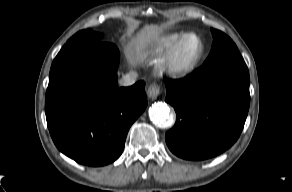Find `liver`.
<instances>
[{"label": "liver", "instance_id": "obj_1", "mask_svg": "<svg viewBox=\"0 0 292 192\" xmlns=\"http://www.w3.org/2000/svg\"><path fill=\"white\" fill-rule=\"evenodd\" d=\"M161 28L157 25H145L133 38L125 55L129 63L134 66L143 61L148 45L158 41Z\"/></svg>", "mask_w": 292, "mask_h": 192}]
</instances>
